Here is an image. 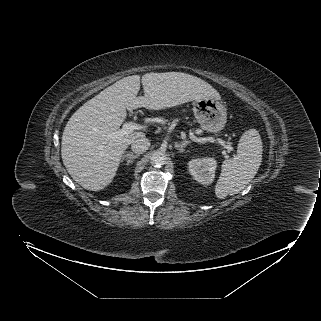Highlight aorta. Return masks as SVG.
<instances>
[{
  "label": "aorta",
  "instance_id": "obj_1",
  "mask_svg": "<svg viewBox=\"0 0 321 321\" xmlns=\"http://www.w3.org/2000/svg\"><path fill=\"white\" fill-rule=\"evenodd\" d=\"M166 160H167V158H166L165 153H163L161 151H155L151 155L150 163L154 167H161L166 164Z\"/></svg>",
  "mask_w": 321,
  "mask_h": 321
}]
</instances>
